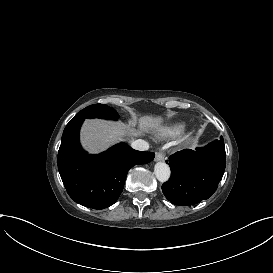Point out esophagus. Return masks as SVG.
I'll list each match as a JSON object with an SVG mask.
<instances>
[{
	"label": "esophagus",
	"instance_id": "34e87169",
	"mask_svg": "<svg viewBox=\"0 0 273 273\" xmlns=\"http://www.w3.org/2000/svg\"><path fill=\"white\" fill-rule=\"evenodd\" d=\"M165 159V154L162 152H158L155 156V161H164Z\"/></svg>",
	"mask_w": 273,
	"mask_h": 273
}]
</instances>
